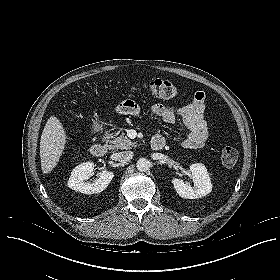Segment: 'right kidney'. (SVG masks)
<instances>
[{
  "instance_id": "ca27d5eb",
  "label": "right kidney",
  "mask_w": 280,
  "mask_h": 280,
  "mask_svg": "<svg viewBox=\"0 0 280 280\" xmlns=\"http://www.w3.org/2000/svg\"><path fill=\"white\" fill-rule=\"evenodd\" d=\"M94 170V163L85 162L76 166L68 180V187L84 193V194H98L105 190L114 177V173L108 170H103L99 178L93 183L85 182L92 176Z\"/></svg>"
}]
</instances>
